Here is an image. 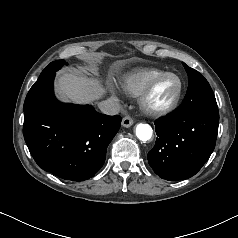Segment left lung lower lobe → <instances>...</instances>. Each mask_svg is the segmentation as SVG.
<instances>
[{"label": "left lung lower lobe", "instance_id": "obj_1", "mask_svg": "<svg viewBox=\"0 0 238 238\" xmlns=\"http://www.w3.org/2000/svg\"><path fill=\"white\" fill-rule=\"evenodd\" d=\"M219 124L217 106L190 114L175 111L155 121L157 140L148 162L162 179L176 181L195 175L215 148Z\"/></svg>", "mask_w": 238, "mask_h": 238}]
</instances>
